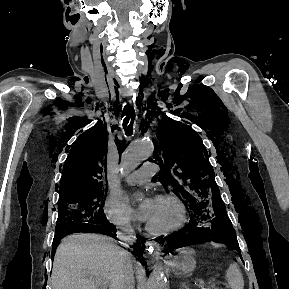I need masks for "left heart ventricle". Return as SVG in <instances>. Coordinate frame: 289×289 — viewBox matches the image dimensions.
Returning a JSON list of instances; mask_svg holds the SVG:
<instances>
[{
	"label": "left heart ventricle",
	"mask_w": 289,
	"mask_h": 289,
	"mask_svg": "<svg viewBox=\"0 0 289 289\" xmlns=\"http://www.w3.org/2000/svg\"><path fill=\"white\" fill-rule=\"evenodd\" d=\"M181 218L179 208L171 201L156 200L155 208L147 222L156 230H162L176 225Z\"/></svg>",
	"instance_id": "obj_1"
}]
</instances>
